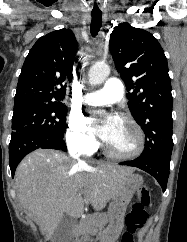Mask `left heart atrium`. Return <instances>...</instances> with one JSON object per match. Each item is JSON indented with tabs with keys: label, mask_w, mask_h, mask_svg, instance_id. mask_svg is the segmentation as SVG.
I'll use <instances>...</instances> for the list:
<instances>
[{
	"label": "left heart atrium",
	"mask_w": 187,
	"mask_h": 242,
	"mask_svg": "<svg viewBox=\"0 0 187 242\" xmlns=\"http://www.w3.org/2000/svg\"><path fill=\"white\" fill-rule=\"evenodd\" d=\"M116 119L114 116H109L102 125L96 127L95 131L102 140L108 142L112 135Z\"/></svg>",
	"instance_id": "39dd6f15"
}]
</instances>
